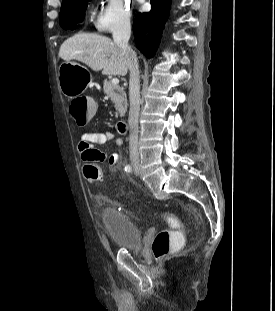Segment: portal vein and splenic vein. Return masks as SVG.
<instances>
[{
	"instance_id": "18ae733b",
	"label": "portal vein and splenic vein",
	"mask_w": 275,
	"mask_h": 311,
	"mask_svg": "<svg viewBox=\"0 0 275 311\" xmlns=\"http://www.w3.org/2000/svg\"><path fill=\"white\" fill-rule=\"evenodd\" d=\"M113 84L118 85L119 84V79L118 78H113L111 81Z\"/></svg>"
}]
</instances>
